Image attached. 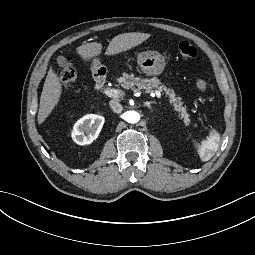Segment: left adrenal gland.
<instances>
[{
	"label": "left adrenal gland",
	"instance_id": "left-adrenal-gland-1",
	"mask_svg": "<svg viewBox=\"0 0 255 255\" xmlns=\"http://www.w3.org/2000/svg\"><path fill=\"white\" fill-rule=\"evenodd\" d=\"M153 102H145V106H147L149 109H151V104H152Z\"/></svg>",
	"mask_w": 255,
	"mask_h": 255
}]
</instances>
